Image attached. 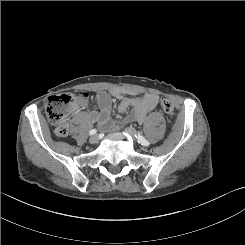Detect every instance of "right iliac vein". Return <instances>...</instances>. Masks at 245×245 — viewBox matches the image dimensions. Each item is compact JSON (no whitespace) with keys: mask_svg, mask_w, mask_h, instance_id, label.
Here are the masks:
<instances>
[{"mask_svg":"<svg viewBox=\"0 0 245 245\" xmlns=\"http://www.w3.org/2000/svg\"><path fill=\"white\" fill-rule=\"evenodd\" d=\"M98 140H99L98 136L97 135H93V136L90 137L89 142L91 144H95V143L98 142Z\"/></svg>","mask_w":245,"mask_h":245,"instance_id":"1","label":"right iliac vein"}]
</instances>
